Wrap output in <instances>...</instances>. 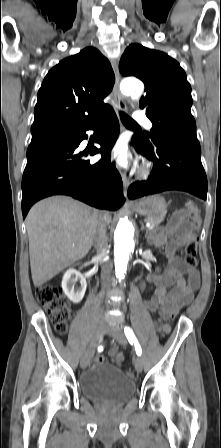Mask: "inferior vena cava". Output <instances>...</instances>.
I'll list each match as a JSON object with an SVG mask.
<instances>
[{
	"mask_svg": "<svg viewBox=\"0 0 221 448\" xmlns=\"http://www.w3.org/2000/svg\"><path fill=\"white\" fill-rule=\"evenodd\" d=\"M106 222L103 217L99 218L97 232L94 238V246L97 254L104 256L106 254ZM101 282L102 286H108L110 283V270L106 263L102 265L101 271Z\"/></svg>",
	"mask_w": 221,
	"mask_h": 448,
	"instance_id": "inferior-vena-cava-1",
	"label": "inferior vena cava"
}]
</instances>
